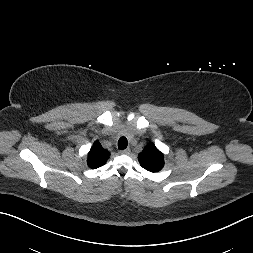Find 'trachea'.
Masks as SVG:
<instances>
[{
    "mask_svg": "<svg viewBox=\"0 0 253 253\" xmlns=\"http://www.w3.org/2000/svg\"><path fill=\"white\" fill-rule=\"evenodd\" d=\"M128 145V141L125 137H121L118 141V148L125 149Z\"/></svg>",
    "mask_w": 253,
    "mask_h": 253,
    "instance_id": "3493384b",
    "label": "trachea"
}]
</instances>
